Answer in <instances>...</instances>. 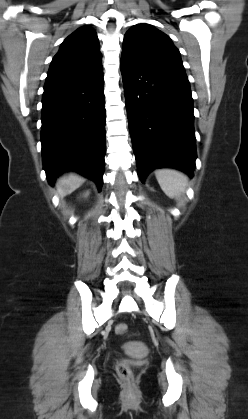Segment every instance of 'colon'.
<instances>
[{
	"label": "colon",
	"mask_w": 248,
	"mask_h": 419,
	"mask_svg": "<svg viewBox=\"0 0 248 419\" xmlns=\"http://www.w3.org/2000/svg\"><path fill=\"white\" fill-rule=\"evenodd\" d=\"M127 325L124 323H120L116 326V333L119 335L125 334L127 332ZM116 371L118 375L127 381L128 383H131L133 380L132 371L129 367V365L124 360H118L116 363Z\"/></svg>",
	"instance_id": "colon-1"
}]
</instances>
